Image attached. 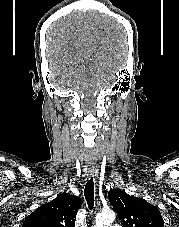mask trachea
Returning a JSON list of instances; mask_svg holds the SVG:
<instances>
[{
	"instance_id": "trachea-1",
	"label": "trachea",
	"mask_w": 179,
	"mask_h": 227,
	"mask_svg": "<svg viewBox=\"0 0 179 227\" xmlns=\"http://www.w3.org/2000/svg\"><path fill=\"white\" fill-rule=\"evenodd\" d=\"M84 196L90 210L94 207V181L93 177L87 181L84 189Z\"/></svg>"
}]
</instances>
